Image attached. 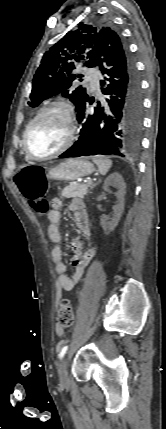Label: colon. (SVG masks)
Returning a JSON list of instances; mask_svg holds the SVG:
<instances>
[{
	"mask_svg": "<svg viewBox=\"0 0 166 429\" xmlns=\"http://www.w3.org/2000/svg\"><path fill=\"white\" fill-rule=\"evenodd\" d=\"M14 182L23 197L39 212L47 211L45 198L47 178L45 169L37 165L22 167L14 176ZM74 314L71 302L61 299L56 311L57 326L68 328L73 324Z\"/></svg>",
	"mask_w": 166,
	"mask_h": 429,
	"instance_id": "colon-1",
	"label": "colon"
}]
</instances>
